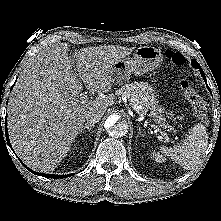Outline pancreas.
I'll return each mask as SVG.
<instances>
[{
    "label": "pancreas",
    "mask_w": 221,
    "mask_h": 221,
    "mask_svg": "<svg viewBox=\"0 0 221 221\" xmlns=\"http://www.w3.org/2000/svg\"><path fill=\"white\" fill-rule=\"evenodd\" d=\"M116 95L125 96L130 104L136 108L140 107V111L146 114L150 111L149 116L157 123L164 124L165 118L161 115L163 108L157 106L154 99H151L141 88L140 83L125 84L116 90ZM172 115V113H170Z\"/></svg>",
    "instance_id": "cf45deb5"
}]
</instances>
